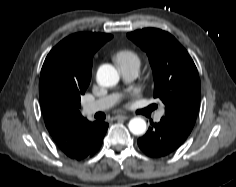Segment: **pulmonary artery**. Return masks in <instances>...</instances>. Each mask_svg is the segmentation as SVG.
Wrapping results in <instances>:
<instances>
[{
	"label": "pulmonary artery",
	"mask_w": 236,
	"mask_h": 187,
	"mask_svg": "<svg viewBox=\"0 0 236 187\" xmlns=\"http://www.w3.org/2000/svg\"><path fill=\"white\" fill-rule=\"evenodd\" d=\"M122 76L125 80L131 81L135 79L138 75V69L134 67L123 68L121 70ZM117 101V96L115 94L108 95L97 99L95 101L89 102L84 105L83 112L85 115H92L99 111H104L112 107ZM163 116V111H159L155 115V120L159 122Z\"/></svg>",
	"instance_id": "obj_1"
}]
</instances>
